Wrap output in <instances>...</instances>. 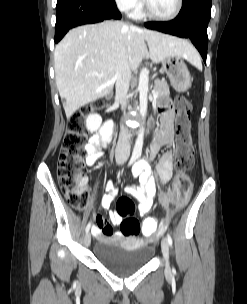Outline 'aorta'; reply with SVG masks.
<instances>
[{
    "label": "aorta",
    "instance_id": "aorta-1",
    "mask_svg": "<svg viewBox=\"0 0 247 304\" xmlns=\"http://www.w3.org/2000/svg\"><path fill=\"white\" fill-rule=\"evenodd\" d=\"M148 82H149L148 71L147 69L143 68L140 71L139 85H138L139 110H140V115L143 119L145 118L147 113ZM143 138H144V127H141L137 135L135 148H134L135 151L140 152L142 150Z\"/></svg>",
    "mask_w": 247,
    "mask_h": 304
}]
</instances>
